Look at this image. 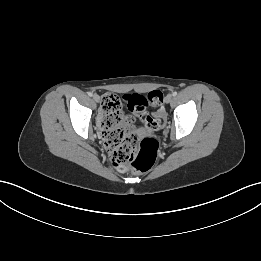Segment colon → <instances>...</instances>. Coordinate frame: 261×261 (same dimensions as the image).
<instances>
[{
	"instance_id": "obj_1",
	"label": "colon",
	"mask_w": 261,
	"mask_h": 261,
	"mask_svg": "<svg viewBox=\"0 0 261 261\" xmlns=\"http://www.w3.org/2000/svg\"><path fill=\"white\" fill-rule=\"evenodd\" d=\"M163 94L159 90L147 95L128 93L125 102L132 115L139 116L141 123L150 129L161 130L167 124L160 107ZM154 106L153 117L147 111ZM102 137L108 151L112 167L124 172L128 168L136 172L149 170L156 161L159 143L155 138L138 139L135 133L124 126L121 101L115 94H105L102 98Z\"/></svg>"
}]
</instances>
